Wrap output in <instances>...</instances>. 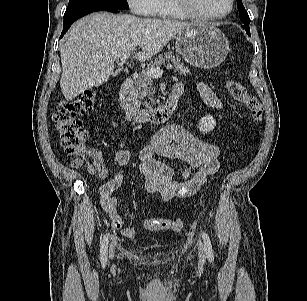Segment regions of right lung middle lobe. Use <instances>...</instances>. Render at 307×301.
I'll use <instances>...</instances> for the list:
<instances>
[{"label": "right lung middle lobe", "instance_id": "obj_1", "mask_svg": "<svg viewBox=\"0 0 307 301\" xmlns=\"http://www.w3.org/2000/svg\"><path fill=\"white\" fill-rule=\"evenodd\" d=\"M126 0H69L64 19L99 9H128Z\"/></svg>", "mask_w": 307, "mask_h": 301}]
</instances>
